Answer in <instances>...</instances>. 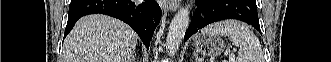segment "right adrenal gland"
Masks as SVG:
<instances>
[{
  "instance_id": "2a0ac1e0",
  "label": "right adrenal gland",
  "mask_w": 331,
  "mask_h": 62,
  "mask_svg": "<svg viewBox=\"0 0 331 62\" xmlns=\"http://www.w3.org/2000/svg\"><path fill=\"white\" fill-rule=\"evenodd\" d=\"M129 62H136L134 53L132 54V56H131Z\"/></svg>"
}]
</instances>
